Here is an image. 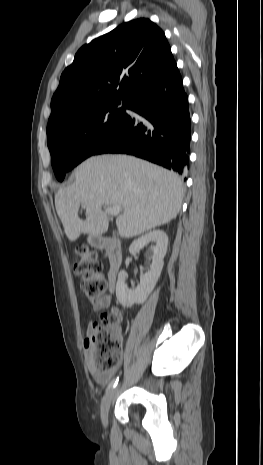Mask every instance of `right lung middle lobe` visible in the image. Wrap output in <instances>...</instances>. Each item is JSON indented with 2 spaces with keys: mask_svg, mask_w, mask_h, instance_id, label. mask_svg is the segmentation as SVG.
I'll use <instances>...</instances> for the list:
<instances>
[{
  "mask_svg": "<svg viewBox=\"0 0 263 465\" xmlns=\"http://www.w3.org/2000/svg\"><path fill=\"white\" fill-rule=\"evenodd\" d=\"M128 99H109L76 108L48 123V148L59 181L96 150L125 116ZM122 104V108L118 105Z\"/></svg>",
  "mask_w": 263,
  "mask_h": 465,
  "instance_id": "dd1d6c3e",
  "label": "right lung middle lobe"
}]
</instances>
